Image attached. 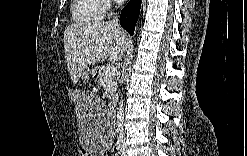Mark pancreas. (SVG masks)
Segmentation results:
<instances>
[{
    "mask_svg": "<svg viewBox=\"0 0 247 156\" xmlns=\"http://www.w3.org/2000/svg\"><path fill=\"white\" fill-rule=\"evenodd\" d=\"M106 67H100L97 77L98 84L101 85L108 98H112L117 89V80L115 75H107Z\"/></svg>",
    "mask_w": 247,
    "mask_h": 156,
    "instance_id": "cf45deb5",
    "label": "pancreas"
}]
</instances>
